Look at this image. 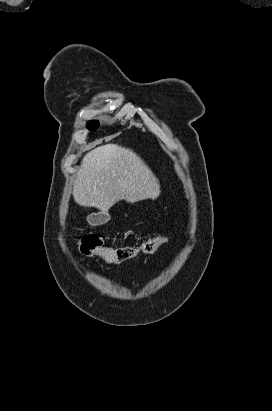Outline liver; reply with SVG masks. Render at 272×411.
Here are the masks:
<instances>
[{
    "label": "liver",
    "mask_w": 272,
    "mask_h": 411,
    "mask_svg": "<svg viewBox=\"0 0 272 411\" xmlns=\"http://www.w3.org/2000/svg\"><path fill=\"white\" fill-rule=\"evenodd\" d=\"M159 195L160 184L150 168L133 150L116 144L99 146L84 156L73 188L77 204L101 213L123 199L135 203Z\"/></svg>",
    "instance_id": "obj_1"
}]
</instances>
